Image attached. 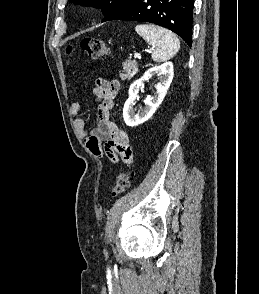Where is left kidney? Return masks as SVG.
<instances>
[{"label": "left kidney", "instance_id": "left-kidney-1", "mask_svg": "<svg viewBox=\"0 0 259 294\" xmlns=\"http://www.w3.org/2000/svg\"><path fill=\"white\" fill-rule=\"evenodd\" d=\"M156 74L160 79V81L156 84V93L154 96H148L145 100V108L135 113L133 106L140 87L143 85L145 80ZM173 75L172 62H166L162 65L148 69L140 79L131 84L128 92L129 97L123 108V118L127 126H137L151 118L157 107L163 101L172 82Z\"/></svg>", "mask_w": 259, "mask_h": 294}]
</instances>
